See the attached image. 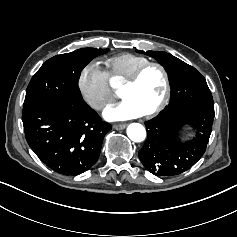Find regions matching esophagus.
Returning a JSON list of instances; mask_svg holds the SVG:
<instances>
[{
    "label": "esophagus",
    "mask_w": 237,
    "mask_h": 237,
    "mask_svg": "<svg viewBox=\"0 0 237 237\" xmlns=\"http://www.w3.org/2000/svg\"><path fill=\"white\" fill-rule=\"evenodd\" d=\"M127 127V124H114L113 128L116 130H122L125 129Z\"/></svg>",
    "instance_id": "obj_1"
}]
</instances>
